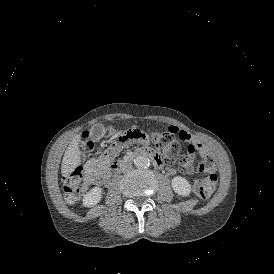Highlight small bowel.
I'll return each instance as SVG.
<instances>
[{"mask_svg":"<svg viewBox=\"0 0 274 274\" xmlns=\"http://www.w3.org/2000/svg\"><path fill=\"white\" fill-rule=\"evenodd\" d=\"M170 130H177V127H170ZM179 133H181V139L184 141L191 142L192 144L188 145L187 150L190 152L186 157L180 159L179 164L181 167L185 169L187 174H192L194 169L196 173L201 174L203 176L208 175L209 173V181L212 184H216L219 181L220 175L217 172L216 168L210 161L204 162L203 165L197 166V161H195V156L192 154L195 152L196 147L199 148L198 153L196 155V159L205 161L208 158L207 153L204 151L203 144L191 136L189 133L182 131L179 129ZM142 145H147L148 140L144 137H140L135 140ZM194 144V145H193ZM126 143L123 144H114L108 150L103 153L97 154L91 157L84 165V182L82 184V193H87L91 186H102L109 179L111 167L113 166L112 160L119 154V152L125 147ZM194 167V168H193ZM171 173H176L177 170L174 168L170 169Z\"/></svg>","mask_w":274,"mask_h":274,"instance_id":"obj_1","label":"small bowel"}]
</instances>
